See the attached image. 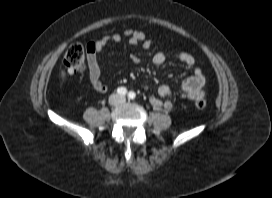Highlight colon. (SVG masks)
Listing matches in <instances>:
<instances>
[{
    "mask_svg": "<svg viewBox=\"0 0 272 198\" xmlns=\"http://www.w3.org/2000/svg\"><path fill=\"white\" fill-rule=\"evenodd\" d=\"M64 65L71 74L80 73L85 69V50L82 44L73 43L68 47L64 55ZM195 106L199 109L205 108V98H197L195 100Z\"/></svg>",
    "mask_w": 272,
    "mask_h": 198,
    "instance_id": "obj_1",
    "label": "colon"
}]
</instances>
